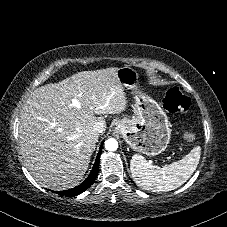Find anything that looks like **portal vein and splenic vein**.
I'll return each mask as SVG.
<instances>
[{
  "label": "portal vein and splenic vein",
  "mask_w": 227,
  "mask_h": 227,
  "mask_svg": "<svg viewBox=\"0 0 227 227\" xmlns=\"http://www.w3.org/2000/svg\"><path fill=\"white\" fill-rule=\"evenodd\" d=\"M72 105L75 106V107H77V108L80 107V104H79V102H78V100L76 98H73L72 99Z\"/></svg>",
  "instance_id": "1"
}]
</instances>
